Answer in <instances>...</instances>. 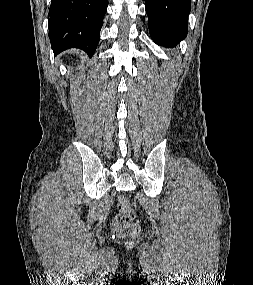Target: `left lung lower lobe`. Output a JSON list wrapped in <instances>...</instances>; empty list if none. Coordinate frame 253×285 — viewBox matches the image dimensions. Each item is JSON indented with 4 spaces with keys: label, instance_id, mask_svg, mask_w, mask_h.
Listing matches in <instances>:
<instances>
[{
    "label": "left lung lower lobe",
    "instance_id": "1",
    "mask_svg": "<svg viewBox=\"0 0 253 285\" xmlns=\"http://www.w3.org/2000/svg\"><path fill=\"white\" fill-rule=\"evenodd\" d=\"M145 8L155 43L173 47L186 37L190 0H145Z\"/></svg>",
    "mask_w": 253,
    "mask_h": 285
}]
</instances>
